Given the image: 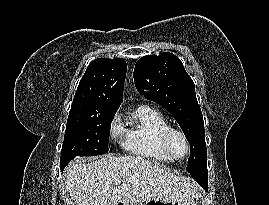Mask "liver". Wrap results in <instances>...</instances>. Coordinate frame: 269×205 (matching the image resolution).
<instances>
[{"instance_id": "6515ba94", "label": "liver", "mask_w": 269, "mask_h": 205, "mask_svg": "<svg viewBox=\"0 0 269 205\" xmlns=\"http://www.w3.org/2000/svg\"><path fill=\"white\" fill-rule=\"evenodd\" d=\"M65 186L75 205L141 204L149 199L180 200L197 195L196 184L135 156L106 155L69 164ZM120 180L119 185L114 184Z\"/></svg>"}]
</instances>
